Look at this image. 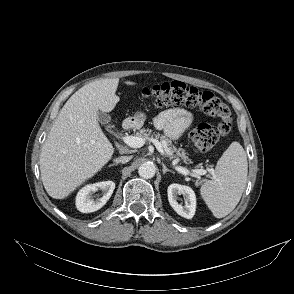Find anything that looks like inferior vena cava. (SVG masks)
<instances>
[{"mask_svg": "<svg viewBox=\"0 0 294 294\" xmlns=\"http://www.w3.org/2000/svg\"><path fill=\"white\" fill-rule=\"evenodd\" d=\"M131 160V156H121L115 159V162L117 163H127L128 161Z\"/></svg>", "mask_w": 294, "mask_h": 294, "instance_id": "602c4592", "label": "inferior vena cava"}]
</instances>
